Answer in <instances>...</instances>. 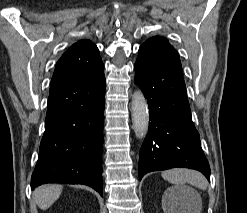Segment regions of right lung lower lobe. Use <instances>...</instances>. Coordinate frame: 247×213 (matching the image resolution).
Wrapping results in <instances>:
<instances>
[{
    "instance_id": "right-lung-lower-lobe-1",
    "label": "right lung lower lobe",
    "mask_w": 247,
    "mask_h": 213,
    "mask_svg": "<svg viewBox=\"0 0 247 213\" xmlns=\"http://www.w3.org/2000/svg\"><path fill=\"white\" fill-rule=\"evenodd\" d=\"M104 104L103 69L50 87L32 189L45 183L85 184L102 193Z\"/></svg>"
}]
</instances>
